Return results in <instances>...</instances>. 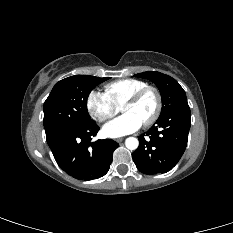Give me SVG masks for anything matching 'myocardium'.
I'll return each mask as SVG.
<instances>
[{
  "label": "myocardium",
  "instance_id": "f54148a6",
  "mask_svg": "<svg viewBox=\"0 0 233 233\" xmlns=\"http://www.w3.org/2000/svg\"><path fill=\"white\" fill-rule=\"evenodd\" d=\"M148 92H152L156 97V109L153 115L142 124L144 127H149L152 124H154L158 120L162 112V108H163L162 96L160 91L156 87L146 86L137 90L129 98H127L125 102L121 105V110L126 106L133 105L137 103Z\"/></svg>",
  "mask_w": 233,
  "mask_h": 233
}]
</instances>
